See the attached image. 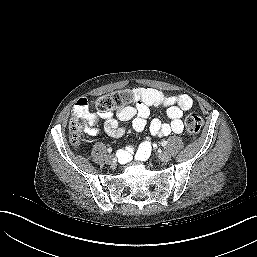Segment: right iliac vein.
Listing matches in <instances>:
<instances>
[{
    "label": "right iliac vein",
    "instance_id": "63e3f726",
    "mask_svg": "<svg viewBox=\"0 0 257 257\" xmlns=\"http://www.w3.org/2000/svg\"><path fill=\"white\" fill-rule=\"evenodd\" d=\"M106 162H107L108 164L114 163V162H115L114 156H113V155H108V156L106 157Z\"/></svg>",
    "mask_w": 257,
    "mask_h": 257
}]
</instances>
